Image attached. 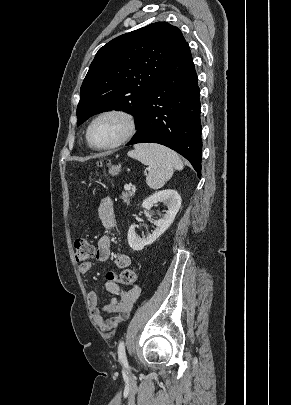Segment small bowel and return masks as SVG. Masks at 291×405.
<instances>
[{"label": "small bowel", "instance_id": "obj_1", "mask_svg": "<svg viewBox=\"0 0 291 405\" xmlns=\"http://www.w3.org/2000/svg\"><path fill=\"white\" fill-rule=\"evenodd\" d=\"M99 217L106 228H114L115 206L111 198L102 199L99 205ZM111 256V239L108 235H103L98 239L95 257L100 262L107 261ZM115 264L118 268L125 269L131 265V258L124 253H119L115 257ZM92 269V263L87 261L79 265V271L87 274ZM105 288L114 295V298L103 304L98 305V297L94 291L89 292L88 302L90 313L94 323L103 331H110L119 324L127 320L130 316L134 303L140 295V287L133 286L130 289H122L116 282L107 279ZM103 314H114L105 318Z\"/></svg>", "mask_w": 291, "mask_h": 405}]
</instances>
